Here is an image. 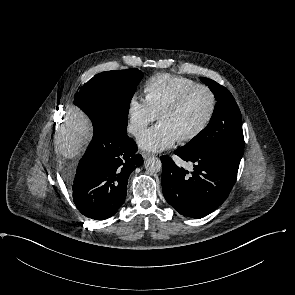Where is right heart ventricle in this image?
Segmentation results:
<instances>
[{
	"instance_id": "obj_1",
	"label": "right heart ventricle",
	"mask_w": 295,
	"mask_h": 295,
	"mask_svg": "<svg viewBox=\"0 0 295 295\" xmlns=\"http://www.w3.org/2000/svg\"><path fill=\"white\" fill-rule=\"evenodd\" d=\"M194 84L196 82L187 77L159 73L145 83L146 100L158 116L165 107Z\"/></svg>"
}]
</instances>
